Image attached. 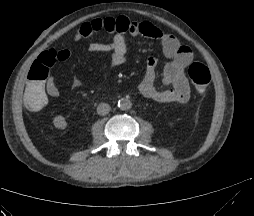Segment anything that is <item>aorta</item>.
Here are the masks:
<instances>
[{"mask_svg": "<svg viewBox=\"0 0 254 216\" xmlns=\"http://www.w3.org/2000/svg\"><path fill=\"white\" fill-rule=\"evenodd\" d=\"M131 106H132V103L128 98H121L118 101V107L123 111L129 110Z\"/></svg>", "mask_w": 254, "mask_h": 216, "instance_id": "obj_1", "label": "aorta"}]
</instances>
